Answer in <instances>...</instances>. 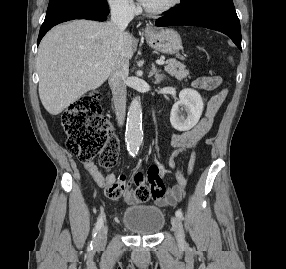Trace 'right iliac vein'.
<instances>
[{
	"label": "right iliac vein",
	"mask_w": 286,
	"mask_h": 269,
	"mask_svg": "<svg viewBox=\"0 0 286 269\" xmlns=\"http://www.w3.org/2000/svg\"><path fill=\"white\" fill-rule=\"evenodd\" d=\"M107 233H108V227L107 226H103L97 235V239H96V244L95 247L97 249H103L106 245L107 242Z\"/></svg>",
	"instance_id": "right-iliac-vein-1"
}]
</instances>
